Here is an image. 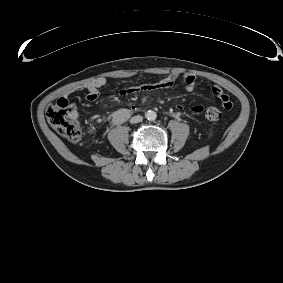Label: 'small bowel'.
Instances as JSON below:
<instances>
[{
  "instance_id": "small-bowel-1",
  "label": "small bowel",
  "mask_w": 283,
  "mask_h": 283,
  "mask_svg": "<svg viewBox=\"0 0 283 283\" xmlns=\"http://www.w3.org/2000/svg\"><path fill=\"white\" fill-rule=\"evenodd\" d=\"M178 81L181 82L183 87L187 91H193L196 87L197 81L195 75L191 73L170 74L156 82L146 83L142 85L130 86L120 90V94L123 96H132L136 94H149L158 91L167 90L173 87ZM106 81L102 77H97L83 86L73 89L71 92H86V99L90 102L95 101L100 95V89L105 85ZM213 93L219 98L221 104L225 110H230L232 108V103L229 95L219 86H214L212 88ZM134 109V107H131ZM183 110V106L178 104L176 106L177 113ZM204 110V107L200 104H196L191 108V111L195 114H200ZM76 118L79 116V112H75Z\"/></svg>"
}]
</instances>
